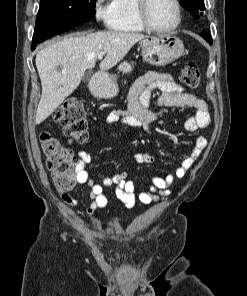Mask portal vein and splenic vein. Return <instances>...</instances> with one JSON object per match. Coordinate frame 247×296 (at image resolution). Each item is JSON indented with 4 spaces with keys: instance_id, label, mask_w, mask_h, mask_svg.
Returning <instances> with one entry per match:
<instances>
[{
    "instance_id": "1",
    "label": "portal vein and splenic vein",
    "mask_w": 247,
    "mask_h": 296,
    "mask_svg": "<svg viewBox=\"0 0 247 296\" xmlns=\"http://www.w3.org/2000/svg\"><path fill=\"white\" fill-rule=\"evenodd\" d=\"M104 52H102V53H100V54H98V59H102L103 58V56H104Z\"/></svg>"
}]
</instances>
